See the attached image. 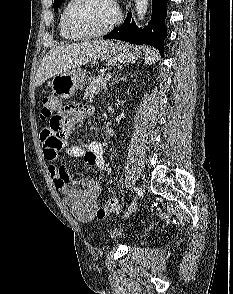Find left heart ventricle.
<instances>
[{
  "label": "left heart ventricle",
  "mask_w": 233,
  "mask_h": 294,
  "mask_svg": "<svg viewBox=\"0 0 233 294\" xmlns=\"http://www.w3.org/2000/svg\"><path fill=\"white\" fill-rule=\"evenodd\" d=\"M114 17L108 0H80L71 14L72 25L80 32L91 33L106 27Z\"/></svg>",
  "instance_id": "obj_1"
}]
</instances>
